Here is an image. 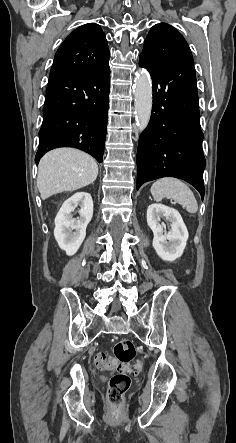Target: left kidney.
Masks as SVG:
<instances>
[{
  "label": "left kidney",
  "instance_id": "1",
  "mask_svg": "<svg viewBox=\"0 0 236 443\" xmlns=\"http://www.w3.org/2000/svg\"><path fill=\"white\" fill-rule=\"evenodd\" d=\"M161 218L171 223L168 233H164ZM147 224L154 234L153 248L162 260L173 262L182 256L189 234L177 210L163 204H151L147 209Z\"/></svg>",
  "mask_w": 236,
  "mask_h": 443
}]
</instances>
